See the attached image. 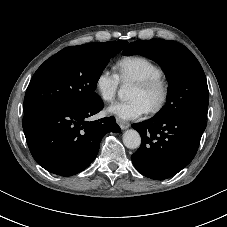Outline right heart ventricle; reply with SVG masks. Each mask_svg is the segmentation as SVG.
I'll use <instances>...</instances> for the list:
<instances>
[{"mask_svg":"<svg viewBox=\"0 0 227 227\" xmlns=\"http://www.w3.org/2000/svg\"><path fill=\"white\" fill-rule=\"evenodd\" d=\"M117 75L123 82H136L162 75L159 65L143 56H129L116 63Z\"/></svg>","mask_w":227,"mask_h":227,"instance_id":"1","label":"right heart ventricle"}]
</instances>
